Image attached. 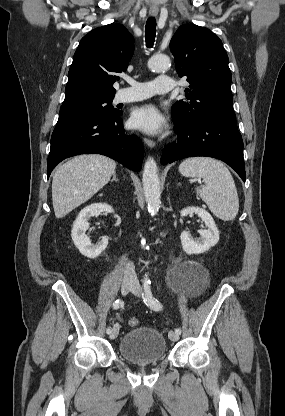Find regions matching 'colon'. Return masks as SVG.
<instances>
[{"instance_id": "1", "label": "colon", "mask_w": 285, "mask_h": 416, "mask_svg": "<svg viewBox=\"0 0 285 416\" xmlns=\"http://www.w3.org/2000/svg\"><path fill=\"white\" fill-rule=\"evenodd\" d=\"M128 325L130 326V327H135V326H137L138 325V319L137 318H130L129 319V321H128Z\"/></svg>"}]
</instances>
